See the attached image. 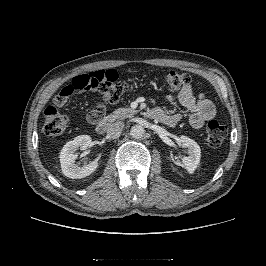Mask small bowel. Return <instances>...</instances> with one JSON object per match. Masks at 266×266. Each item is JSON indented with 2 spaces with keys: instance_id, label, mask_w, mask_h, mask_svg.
<instances>
[{
  "instance_id": "1",
  "label": "small bowel",
  "mask_w": 266,
  "mask_h": 266,
  "mask_svg": "<svg viewBox=\"0 0 266 266\" xmlns=\"http://www.w3.org/2000/svg\"><path fill=\"white\" fill-rule=\"evenodd\" d=\"M167 100L173 102L174 98L168 96ZM177 101L184 113L189 115L190 126L194 129H200L207 120L215 116L216 112L214 104L207 99L203 93L195 95L190 85L180 90L177 96ZM102 110V106H97L95 109L91 110L89 114L91 112H100ZM164 114L166 117L162 122L171 127L177 125L183 118L182 114Z\"/></svg>"
}]
</instances>
